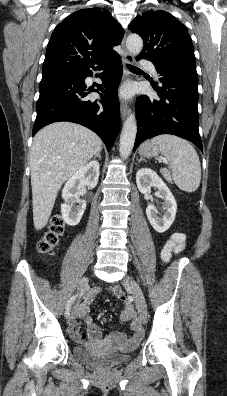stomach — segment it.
Returning <instances> with one entry per match:
<instances>
[{"instance_id":"0dacf381","label":"stomach","mask_w":227,"mask_h":396,"mask_svg":"<svg viewBox=\"0 0 227 396\" xmlns=\"http://www.w3.org/2000/svg\"><path fill=\"white\" fill-rule=\"evenodd\" d=\"M159 148L152 144L150 141L145 142L139 149V154L145 158L156 157L159 152Z\"/></svg>"}]
</instances>
